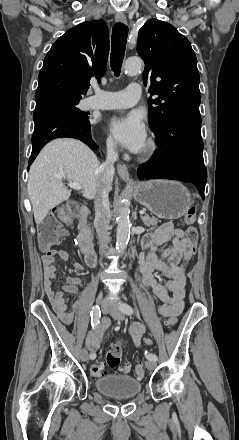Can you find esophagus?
Returning <instances> with one entry per match:
<instances>
[{"instance_id": "esophagus-1", "label": "esophagus", "mask_w": 239, "mask_h": 440, "mask_svg": "<svg viewBox=\"0 0 239 440\" xmlns=\"http://www.w3.org/2000/svg\"><path fill=\"white\" fill-rule=\"evenodd\" d=\"M115 20H116V22H122L123 24L127 23L126 17L123 12L116 13ZM117 171H118V174L120 175V177L125 182L130 183V184H136L135 180L130 178V174H129V171H128V168L126 167V165H123L122 163H118Z\"/></svg>"}]
</instances>
